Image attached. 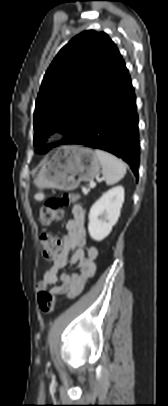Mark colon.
Listing matches in <instances>:
<instances>
[{
    "instance_id": "obj_1",
    "label": "colon",
    "mask_w": 168,
    "mask_h": 406,
    "mask_svg": "<svg viewBox=\"0 0 168 406\" xmlns=\"http://www.w3.org/2000/svg\"><path fill=\"white\" fill-rule=\"evenodd\" d=\"M78 199L77 195L64 194L59 197L48 199L39 211V221L44 225H50L58 221L62 216V209L68 207ZM42 256L51 259L57 252V239L49 234L41 237ZM38 307L43 313H52L56 307V297L48 291H40L37 297Z\"/></svg>"
}]
</instances>
